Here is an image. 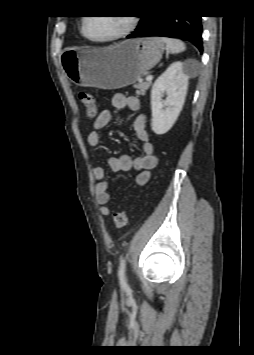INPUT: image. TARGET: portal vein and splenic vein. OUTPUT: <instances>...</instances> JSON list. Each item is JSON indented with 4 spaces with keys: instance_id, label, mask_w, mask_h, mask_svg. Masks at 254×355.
<instances>
[{
    "instance_id": "portal-vein-and-splenic-vein-1",
    "label": "portal vein and splenic vein",
    "mask_w": 254,
    "mask_h": 355,
    "mask_svg": "<svg viewBox=\"0 0 254 355\" xmlns=\"http://www.w3.org/2000/svg\"><path fill=\"white\" fill-rule=\"evenodd\" d=\"M146 80H147V81H151V80H152V76H151V75H148V76L146 77Z\"/></svg>"
}]
</instances>
